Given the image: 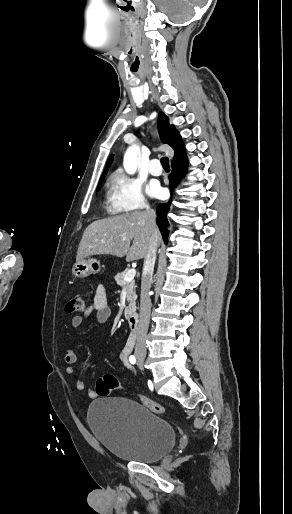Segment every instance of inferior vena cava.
<instances>
[{"mask_svg": "<svg viewBox=\"0 0 292 514\" xmlns=\"http://www.w3.org/2000/svg\"><path fill=\"white\" fill-rule=\"evenodd\" d=\"M149 218L148 230L149 232H153L154 228H156L155 220L156 214L154 210H146ZM157 236L153 234L149 238L148 250L146 252L144 266H143V274H142V282H141V294H140V320L139 326L137 330V342L135 348L136 356L139 354H146L145 348V340L146 334L148 332L149 320H150V312H151V300L149 296L156 252H157Z\"/></svg>", "mask_w": 292, "mask_h": 514, "instance_id": "602c4592", "label": "inferior vena cava"}]
</instances>
